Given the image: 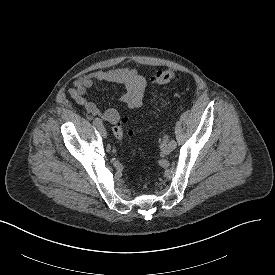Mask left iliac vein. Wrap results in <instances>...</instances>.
<instances>
[{"label":"left iliac vein","instance_id":"left-iliac-vein-1","mask_svg":"<svg viewBox=\"0 0 275 275\" xmlns=\"http://www.w3.org/2000/svg\"><path fill=\"white\" fill-rule=\"evenodd\" d=\"M173 150L172 145L170 142H163L161 144V151L163 154L168 155Z\"/></svg>","mask_w":275,"mask_h":275}]
</instances>
